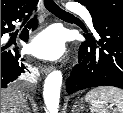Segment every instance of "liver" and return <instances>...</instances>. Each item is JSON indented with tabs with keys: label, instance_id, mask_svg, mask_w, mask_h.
<instances>
[{
	"label": "liver",
	"instance_id": "6515ba94",
	"mask_svg": "<svg viewBox=\"0 0 123 113\" xmlns=\"http://www.w3.org/2000/svg\"><path fill=\"white\" fill-rule=\"evenodd\" d=\"M27 102L14 88L1 89V113H23Z\"/></svg>",
	"mask_w": 123,
	"mask_h": 113
}]
</instances>
